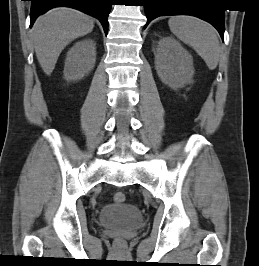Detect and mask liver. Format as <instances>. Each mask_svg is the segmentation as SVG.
<instances>
[{
  "label": "liver",
  "mask_w": 259,
  "mask_h": 266,
  "mask_svg": "<svg viewBox=\"0 0 259 266\" xmlns=\"http://www.w3.org/2000/svg\"><path fill=\"white\" fill-rule=\"evenodd\" d=\"M93 28L94 20L90 16L71 8H55L38 17L31 30V38L44 73L50 75L62 50Z\"/></svg>",
  "instance_id": "obj_1"
}]
</instances>
